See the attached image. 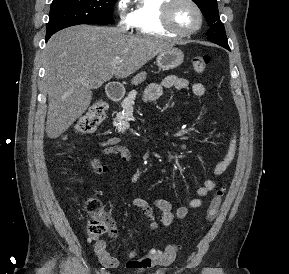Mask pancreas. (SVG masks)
I'll return each instance as SVG.
<instances>
[{
	"label": "pancreas",
	"mask_w": 289,
	"mask_h": 274,
	"mask_svg": "<svg viewBox=\"0 0 289 274\" xmlns=\"http://www.w3.org/2000/svg\"><path fill=\"white\" fill-rule=\"evenodd\" d=\"M135 97L136 91H132L121 103V107L123 108L124 112L118 113L113 121V126L116 127L118 132H124L129 127V121L133 115Z\"/></svg>",
	"instance_id": "1"
}]
</instances>
